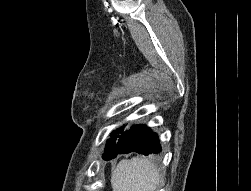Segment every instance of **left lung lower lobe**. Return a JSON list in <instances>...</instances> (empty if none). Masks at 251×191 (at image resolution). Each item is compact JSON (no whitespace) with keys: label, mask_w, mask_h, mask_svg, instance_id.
<instances>
[{"label":"left lung lower lobe","mask_w":251,"mask_h":191,"mask_svg":"<svg viewBox=\"0 0 251 191\" xmlns=\"http://www.w3.org/2000/svg\"><path fill=\"white\" fill-rule=\"evenodd\" d=\"M130 152L143 155L160 153L161 146L158 136L145 125L132 126L118 136L113 151L106 160L115 158L118 154Z\"/></svg>","instance_id":"left-lung-lower-lobe-1"}]
</instances>
